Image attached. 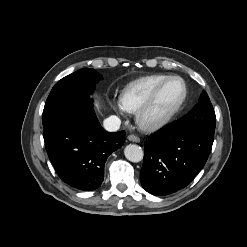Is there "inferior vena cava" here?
<instances>
[{
  "label": "inferior vena cava",
  "instance_id": "obj_1",
  "mask_svg": "<svg viewBox=\"0 0 247 247\" xmlns=\"http://www.w3.org/2000/svg\"><path fill=\"white\" fill-rule=\"evenodd\" d=\"M104 128L109 132H116L121 125V120L117 116H110L104 120Z\"/></svg>",
  "mask_w": 247,
  "mask_h": 247
}]
</instances>
